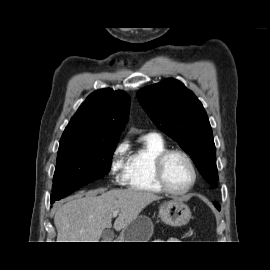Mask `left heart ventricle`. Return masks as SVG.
<instances>
[{
	"label": "left heart ventricle",
	"mask_w": 270,
	"mask_h": 270,
	"mask_svg": "<svg viewBox=\"0 0 270 270\" xmlns=\"http://www.w3.org/2000/svg\"><path fill=\"white\" fill-rule=\"evenodd\" d=\"M164 174L170 187L177 190L186 188L192 180V171L186 159L173 154L168 157L164 165Z\"/></svg>",
	"instance_id": "left-heart-ventricle-1"
}]
</instances>
